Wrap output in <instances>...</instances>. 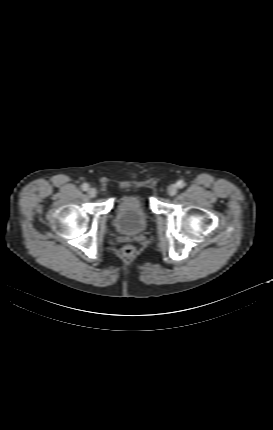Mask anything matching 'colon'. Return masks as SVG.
Returning <instances> with one entry per match:
<instances>
[{"mask_svg": "<svg viewBox=\"0 0 273 430\" xmlns=\"http://www.w3.org/2000/svg\"><path fill=\"white\" fill-rule=\"evenodd\" d=\"M135 248L132 245H126L122 249V255L126 258H130L134 255Z\"/></svg>", "mask_w": 273, "mask_h": 430, "instance_id": "5ec220e1", "label": "colon"}]
</instances>
